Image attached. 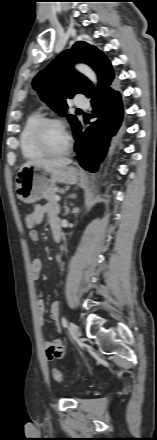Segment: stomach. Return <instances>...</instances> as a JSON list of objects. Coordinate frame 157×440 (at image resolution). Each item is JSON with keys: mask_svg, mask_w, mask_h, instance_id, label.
<instances>
[{"mask_svg": "<svg viewBox=\"0 0 157 440\" xmlns=\"http://www.w3.org/2000/svg\"><path fill=\"white\" fill-rule=\"evenodd\" d=\"M79 179V172L72 166L45 169L41 166L32 165L19 170L16 176V194L24 203H35L54 188L56 183L73 185Z\"/></svg>", "mask_w": 157, "mask_h": 440, "instance_id": "stomach-1", "label": "stomach"}]
</instances>
